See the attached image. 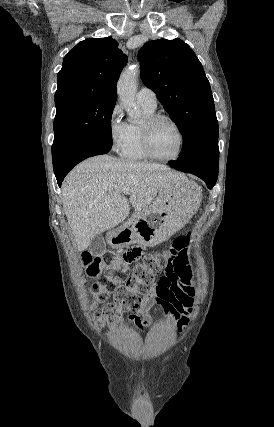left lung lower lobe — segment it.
<instances>
[{
    "mask_svg": "<svg viewBox=\"0 0 274 427\" xmlns=\"http://www.w3.org/2000/svg\"><path fill=\"white\" fill-rule=\"evenodd\" d=\"M169 165L177 170L186 173H192L200 177L206 182L207 187L210 189L215 185L217 181L219 166L213 167L207 165L187 164L179 161L169 162Z\"/></svg>",
    "mask_w": 274,
    "mask_h": 427,
    "instance_id": "0a47b994",
    "label": "left lung lower lobe"
}]
</instances>
